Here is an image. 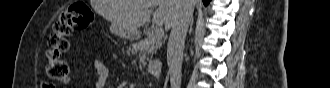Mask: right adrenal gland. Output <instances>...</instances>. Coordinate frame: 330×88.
<instances>
[{
  "label": "right adrenal gland",
  "mask_w": 330,
  "mask_h": 88,
  "mask_svg": "<svg viewBox=\"0 0 330 88\" xmlns=\"http://www.w3.org/2000/svg\"><path fill=\"white\" fill-rule=\"evenodd\" d=\"M192 25H193V19H192V21L190 23V32L192 31Z\"/></svg>",
  "instance_id": "right-adrenal-gland-1"
}]
</instances>
